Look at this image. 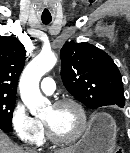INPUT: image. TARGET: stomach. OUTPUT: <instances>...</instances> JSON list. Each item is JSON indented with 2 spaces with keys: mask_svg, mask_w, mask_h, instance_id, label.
<instances>
[{
  "mask_svg": "<svg viewBox=\"0 0 130 153\" xmlns=\"http://www.w3.org/2000/svg\"><path fill=\"white\" fill-rule=\"evenodd\" d=\"M116 134L117 127L113 118L101 114L93 120L73 153H111L115 148Z\"/></svg>",
  "mask_w": 130,
  "mask_h": 153,
  "instance_id": "obj_1",
  "label": "stomach"
}]
</instances>
